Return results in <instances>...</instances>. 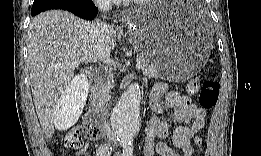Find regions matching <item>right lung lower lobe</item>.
Segmentation results:
<instances>
[{
  "instance_id": "right-lung-lower-lobe-1",
  "label": "right lung lower lobe",
  "mask_w": 261,
  "mask_h": 156,
  "mask_svg": "<svg viewBox=\"0 0 261 156\" xmlns=\"http://www.w3.org/2000/svg\"><path fill=\"white\" fill-rule=\"evenodd\" d=\"M51 9L66 10L83 19H93L98 12L92 0H63L59 3L33 7L31 15Z\"/></svg>"
}]
</instances>
